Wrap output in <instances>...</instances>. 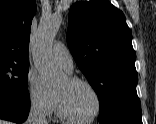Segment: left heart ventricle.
Returning <instances> with one entry per match:
<instances>
[{
  "label": "left heart ventricle",
  "mask_w": 156,
  "mask_h": 124,
  "mask_svg": "<svg viewBox=\"0 0 156 124\" xmlns=\"http://www.w3.org/2000/svg\"><path fill=\"white\" fill-rule=\"evenodd\" d=\"M62 97L66 108L76 117L86 118L91 116L97 107L92 91L82 84L69 83L65 77L55 85Z\"/></svg>",
  "instance_id": "obj_1"
}]
</instances>
